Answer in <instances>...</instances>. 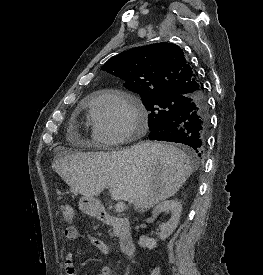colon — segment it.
<instances>
[{"instance_id":"1","label":"colon","mask_w":263,"mask_h":275,"mask_svg":"<svg viewBox=\"0 0 263 275\" xmlns=\"http://www.w3.org/2000/svg\"><path fill=\"white\" fill-rule=\"evenodd\" d=\"M60 212L62 215V218L66 221V222H73L75 219V212L72 206L65 204L62 205L60 208Z\"/></svg>"}]
</instances>
